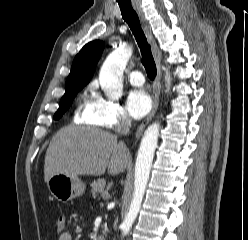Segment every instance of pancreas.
I'll use <instances>...</instances> for the list:
<instances>
[{
	"instance_id": "cf45deb5",
	"label": "pancreas",
	"mask_w": 248,
	"mask_h": 240,
	"mask_svg": "<svg viewBox=\"0 0 248 240\" xmlns=\"http://www.w3.org/2000/svg\"><path fill=\"white\" fill-rule=\"evenodd\" d=\"M91 192L94 198L98 196L100 193L102 195L103 192H105V180L104 179H98L97 181H94L91 183Z\"/></svg>"
}]
</instances>
